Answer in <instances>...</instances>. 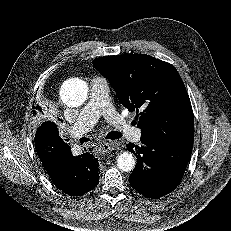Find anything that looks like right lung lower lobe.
I'll use <instances>...</instances> for the list:
<instances>
[{
    "instance_id": "1",
    "label": "right lung lower lobe",
    "mask_w": 231,
    "mask_h": 231,
    "mask_svg": "<svg viewBox=\"0 0 231 231\" xmlns=\"http://www.w3.org/2000/svg\"><path fill=\"white\" fill-rule=\"evenodd\" d=\"M35 148L54 184L64 193L80 196L98 183V160L89 152L73 156L59 136L56 124L43 123L36 132Z\"/></svg>"
}]
</instances>
